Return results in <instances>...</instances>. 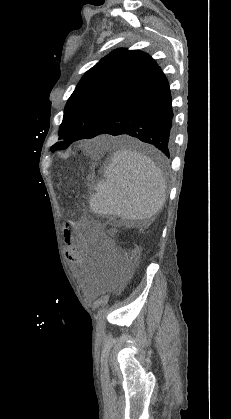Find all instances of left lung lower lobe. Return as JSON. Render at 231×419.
Listing matches in <instances>:
<instances>
[{
  "mask_svg": "<svg viewBox=\"0 0 231 419\" xmlns=\"http://www.w3.org/2000/svg\"><path fill=\"white\" fill-rule=\"evenodd\" d=\"M172 117L169 84L157 67L87 138L127 134L152 144L169 158L173 142Z\"/></svg>",
  "mask_w": 231,
  "mask_h": 419,
  "instance_id": "0a47b994",
  "label": "left lung lower lobe"
}]
</instances>
